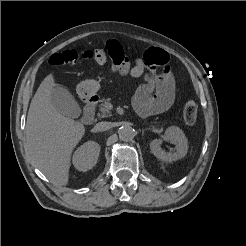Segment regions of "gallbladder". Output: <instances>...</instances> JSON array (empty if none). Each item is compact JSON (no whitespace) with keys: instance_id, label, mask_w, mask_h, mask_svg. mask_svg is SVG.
I'll list each match as a JSON object with an SVG mask.
<instances>
[{"instance_id":"obj_1","label":"gallbladder","mask_w":246,"mask_h":246,"mask_svg":"<svg viewBox=\"0 0 246 246\" xmlns=\"http://www.w3.org/2000/svg\"><path fill=\"white\" fill-rule=\"evenodd\" d=\"M51 103L60 114L66 117L78 118L81 114V109L74 97L62 86L54 87Z\"/></svg>"}]
</instances>
